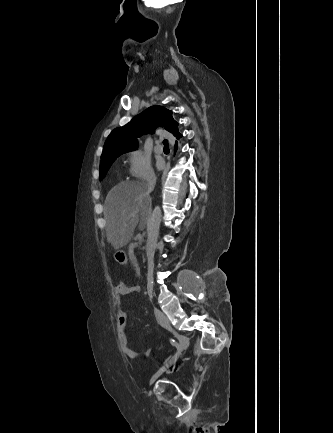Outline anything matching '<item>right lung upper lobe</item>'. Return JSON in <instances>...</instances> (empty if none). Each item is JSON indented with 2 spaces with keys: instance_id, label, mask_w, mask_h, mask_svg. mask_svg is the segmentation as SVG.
Masks as SVG:
<instances>
[{
  "instance_id": "cb5924a9",
  "label": "right lung upper lobe",
  "mask_w": 333,
  "mask_h": 433,
  "mask_svg": "<svg viewBox=\"0 0 333 433\" xmlns=\"http://www.w3.org/2000/svg\"><path fill=\"white\" fill-rule=\"evenodd\" d=\"M157 126L164 127L177 140L182 137L178 131V123L172 117V111L163 106H151L125 126L112 131L103 147L101 160L135 150L138 147L137 138L145 133H153Z\"/></svg>"
}]
</instances>
